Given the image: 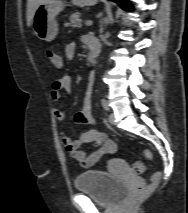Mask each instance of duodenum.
<instances>
[{
	"label": "duodenum",
	"instance_id": "obj_1",
	"mask_svg": "<svg viewBox=\"0 0 188 213\" xmlns=\"http://www.w3.org/2000/svg\"><path fill=\"white\" fill-rule=\"evenodd\" d=\"M88 47H89V60L91 63H95L97 56L99 54L100 51V44L99 41L93 37V36H89L88 38ZM93 79V76L91 77V80Z\"/></svg>",
	"mask_w": 188,
	"mask_h": 213
}]
</instances>
